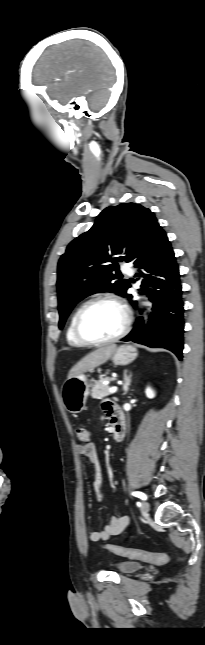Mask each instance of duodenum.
Listing matches in <instances>:
<instances>
[{"mask_svg":"<svg viewBox=\"0 0 205 645\" xmlns=\"http://www.w3.org/2000/svg\"><path fill=\"white\" fill-rule=\"evenodd\" d=\"M111 425L113 439L116 442H120L125 434V420L118 406H115V409L113 410Z\"/></svg>","mask_w":205,"mask_h":645,"instance_id":"1","label":"duodenum"}]
</instances>
